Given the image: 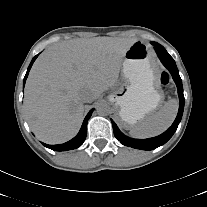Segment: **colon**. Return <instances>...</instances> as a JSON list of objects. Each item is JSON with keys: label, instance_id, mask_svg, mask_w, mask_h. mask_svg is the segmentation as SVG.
I'll return each instance as SVG.
<instances>
[{"label": "colon", "instance_id": "1", "mask_svg": "<svg viewBox=\"0 0 207 207\" xmlns=\"http://www.w3.org/2000/svg\"><path fill=\"white\" fill-rule=\"evenodd\" d=\"M160 83L163 87H166L169 83V76L167 73H162L160 77Z\"/></svg>", "mask_w": 207, "mask_h": 207}]
</instances>
